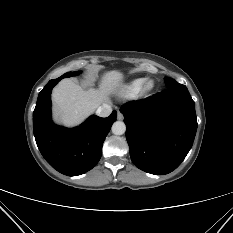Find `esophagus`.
I'll use <instances>...</instances> for the list:
<instances>
[{
    "mask_svg": "<svg viewBox=\"0 0 233 233\" xmlns=\"http://www.w3.org/2000/svg\"><path fill=\"white\" fill-rule=\"evenodd\" d=\"M123 114L118 110V112H117V119L118 120H123Z\"/></svg>",
    "mask_w": 233,
    "mask_h": 233,
    "instance_id": "obj_1",
    "label": "esophagus"
}]
</instances>
